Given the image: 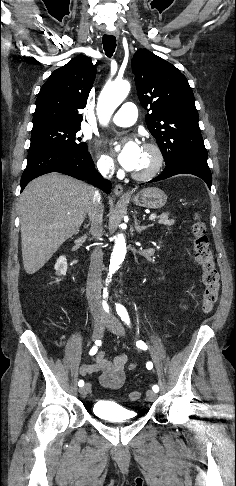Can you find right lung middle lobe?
<instances>
[{"instance_id": "dd1d6c3e", "label": "right lung middle lobe", "mask_w": 236, "mask_h": 486, "mask_svg": "<svg viewBox=\"0 0 236 486\" xmlns=\"http://www.w3.org/2000/svg\"><path fill=\"white\" fill-rule=\"evenodd\" d=\"M80 125L43 124L34 126L30 149L53 148L60 150L87 151V144L80 142L76 134Z\"/></svg>"}]
</instances>
